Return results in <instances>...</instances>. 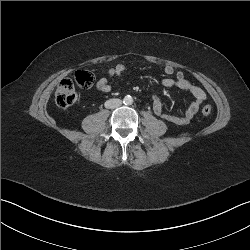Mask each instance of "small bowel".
Here are the masks:
<instances>
[{"label":"small bowel","mask_w":250,"mask_h":250,"mask_svg":"<svg viewBox=\"0 0 250 250\" xmlns=\"http://www.w3.org/2000/svg\"><path fill=\"white\" fill-rule=\"evenodd\" d=\"M126 67L123 64H117L110 67L108 70V77H121L125 74ZM165 78L161 80V85L165 88H178L183 91H187L194 97V101L188 106L182 115L169 114L164 112V105L161 98L154 94L152 95V105L154 113L161 117L163 120L175 124V125H187L192 118L198 113L200 107L205 103L207 96L205 91L199 86L194 85L185 78L182 71H175L172 66H166L164 68ZM96 88L103 93L111 91V84L108 78H101Z\"/></svg>","instance_id":"small-bowel-1"}]
</instances>
